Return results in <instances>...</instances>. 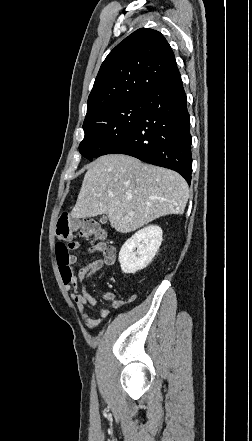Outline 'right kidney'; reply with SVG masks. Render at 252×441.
Returning a JSON list of instances; mask_svg holds the SVG:
<instances>
[{
	"mask_svg": "<svg viewBox=\"0 0 252 441\" xmlns=\"http://www.w3.org/2000/svg\"><path fill=\"white\" fill-rule=\"evenodd\" d=\"M162 229L149 225L136 232L121 247L119 262L125 274L144 269L156 255L162 242Z\"/></svg>",
	"mask_w": 252,
	"mask_h": 441,
	"instance_id": "obj_1",
	"label": "right kidney"
}]
</instances>
